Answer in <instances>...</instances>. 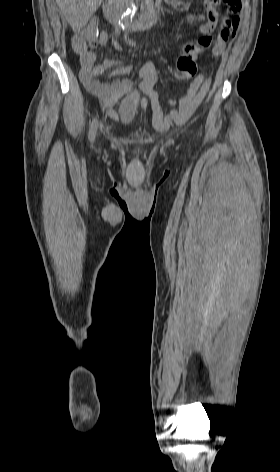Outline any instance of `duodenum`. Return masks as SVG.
I'll return each instance as SVG.
<instances>
[{"instance_id": "410a0bca", "label": "duodenum", "mask_w": 280, "mask_h": 472, "mask_svg": "<svg viewBox=\"0 0 280 472\" xmlns=\"http://www.w3.org/2000/svg\"><path fill=\"white\" fill-rule=\"evenodd\" d=\"M121 1L122 0H106L103 5L106 19L116 27H120L125 14V7ZM160 18L161 14L158 10L153 8L147 9L138 14L134 20L127 25V28L134 31L146 30L155 26Z\"/></svg>"}]
</instances>
